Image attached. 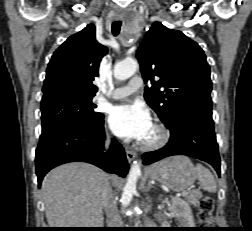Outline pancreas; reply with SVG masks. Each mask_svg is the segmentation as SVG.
I'll return each instance as SVG.
<instances>
[{
  "instance_id": "pancreas-1",
  "label": "pancreas",
  "mask_w": 252,
  "mask_h": 231,
  "mask_svg": "<svg viewBox=\"0 0 252 231\" xmlns=\"http://www.w3.org/2000/svg\"><path fill=\"white\" fill-rule=\"evenodd\" d=\"M202 197V193L199 190L193 191L191 194L186 195L185 198L191 204L196 206L199 203V199Z\"/></svg>"
}]
</instances>
